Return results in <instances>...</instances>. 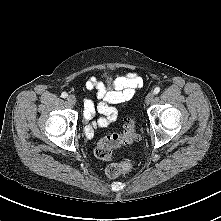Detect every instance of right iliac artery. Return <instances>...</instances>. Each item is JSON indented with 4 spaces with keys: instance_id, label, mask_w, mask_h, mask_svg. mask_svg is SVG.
Returning a JSON list of instances; mask_svg holds the SVG:
<instances>
[{
    "instance_id": "right-iliac-artery-1",
    "label": "right iliac artery",
    "mask_w": 221,
    "mask_h": 221,
    "mask_svg": "<svg viewBox=\"0 0 221 221\" xmlns=\"http://www.w3.org/2000/svg\"><path fill=\"white\" fill-rule=\"evenodd\" d=\"M68 96V94L66 93V92H63L62 94H61V97L62 98H66Z\"/></svg>"
}]
</instances>
